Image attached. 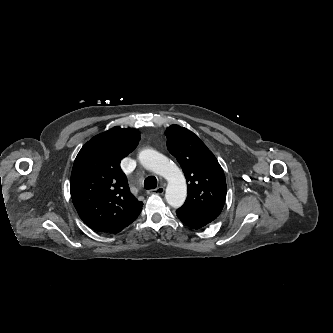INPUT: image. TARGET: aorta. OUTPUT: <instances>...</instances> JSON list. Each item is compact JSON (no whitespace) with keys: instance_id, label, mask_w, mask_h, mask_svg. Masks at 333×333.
Here are the masks:
<instances>
[{"instance_id":"1","label":"aorta","mask_w":333,"mask_h":333,"mask_svg":"<svg viewBox=\"0 0 333 333\" xmlns=\"http://www.w3.org/2000/svg\"><path fill=\"white\" fill-rule=\"evenodd\" d=\"M138 159L146 169L167 180L166 201L172 207H180L187 195L186 182L181 170L164 155L152 149L142 150Z\"/></svg>"}]
</instances>
